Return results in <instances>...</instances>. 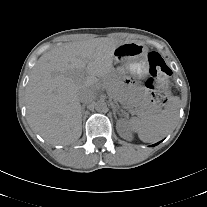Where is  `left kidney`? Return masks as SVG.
<instances>
[{
  "mask_svg": "<svg viewBox=\"0 0 207 207\" xmlns=\"http://www.w3.org/2000/svg\"><path fill=\"white\" fill-rule=\"evenodd\" d=\"M117 131L119 135L124 139H130L132 137L127 122L124 119L120 120L117 123Z\"/></svg>",
  "mask_w": 207,
  "mask_h": 207,
  "instance_id": "1",
  "label": "left kidney"
}]
</instances>
